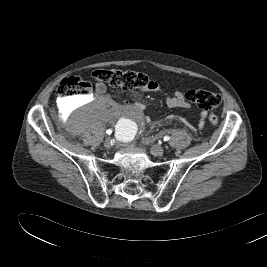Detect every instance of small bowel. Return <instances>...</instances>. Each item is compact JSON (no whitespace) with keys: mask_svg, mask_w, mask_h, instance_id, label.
I'll return each mask as SVG.
<instances>
[{"mask_svg":"<svg viewBox=\"0 0 267 267\" xmlns=\"http://www.w3.org/2000/svg\"><path fill=\"white\" fill-rule=\"evenodd\" d=\"M106 90H107L106 86L102 82H98L96 84V86H95L96 94L99 95V96H103V97H105V99L107 101H110V98L105 96ZM145 90L146 91H154V92H162V89L160 88V86L157 83H155V86L153 88L145 89ZM163 94H164L166 105L169 108H183V109L190 108V103L186 100L185 95L182 92L176 91V92H174L172 94H168V93H163ZM142 108H143V106L140 105V104H136L133 107V110L135 111L136 117L138 119H139V114L138 113L142 110ZM206 115L207 114H206L205 111H202L200 113V119H199V122H198V126L200 128H202L204 126V124H205ZM145 121L146 122H151V118L147 116V117H145Z\"/></svg>","mask_w":267,"mask_h":267,"instance_id":"c3829d8e","label":"small bowel"}]
</instances>
